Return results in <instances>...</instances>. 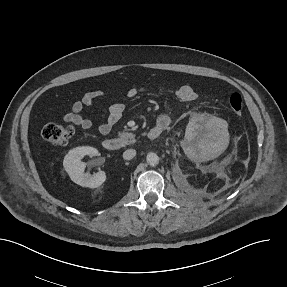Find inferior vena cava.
Wrapping results in <instances>:
<instances>
[{"mask_svg":"<svg viewBox=\"0 0 287 287\" xmlns=\"http://www.w3.org/2000/svg\"><path fill=\"white\" fill-rule=\"evenodd\" d=\"M136 156V151L134 149H128L123 153V158L125 160H131Z\"/></svg>","mask_w":287,"mask_h":287,"instance_id":"inferior-vena-cava-1","label":"inferior vena cava"}]
</instances>
